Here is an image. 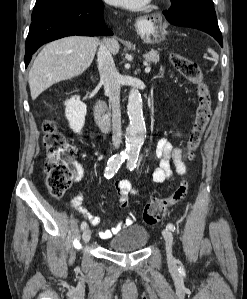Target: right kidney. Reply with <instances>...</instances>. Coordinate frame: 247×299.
<instances>
[{"label":"right kidney","mask_w":247,"mask_h":299,"mask_svg":"<svg viewBox=\"0 0 247 299\" xmlns=\"http://www.w3.org/2000/svg\"><path fill=\"white\" fill-rule=\"evenodd\" d=\"M65 106V116L70 128L73 132L80 133L85 124L86 105L80 101L79 96H73L65 102Z\"/></svg>","instance_id":"1"}]
</instances>
